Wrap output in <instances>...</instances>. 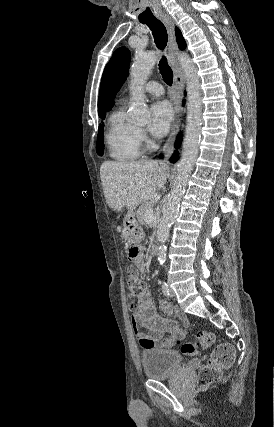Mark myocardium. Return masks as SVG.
Returning <instances> with one entry per match:
<instances>
[{"mask_svg": "<svg viewBox=\"0 0 274 427\" xmlns=\"http://www.w3.org/2000/svg\"><path fill=\"white\" fill-rule=\"evenodd\" d=\"M138 131H139V138H140V141H142V140L144 139L145 131H144V129H142V128L138 129Z\"/></svg>", "mask_w": 274, "mask_h": 427, "instance_id": "1", "label": "myocardium"}]
</instances>
